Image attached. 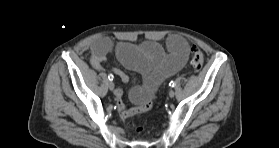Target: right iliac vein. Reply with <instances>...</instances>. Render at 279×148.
<instances>
[{
    "instance_id": "1",
    "label": "right iliac vein",
    "mask_w": 279,
    "mask_h": 148,
    "mask_svg": "<svg viewBox=\"0 0 279 148\" xmlns=\"http://www.w3.org/2000/svg\"><path fill=\"white\" fill-rule=\"evenodd\" d=\"M108 87H109L110 90L113 91V90L115 89V84H114V82L109 81V82H108Z\"/></svg>"
}]
</instances>
